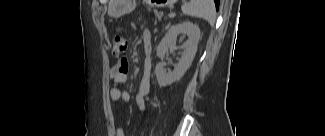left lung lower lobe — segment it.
<instances>
[{
  "instance_id": "obj_1",
  "label": "left lung lower lobe",
  "mask_w": 325,
  "mask_h": 136,
  "mask_svg": "<svg viewBox=\"0 0 325 136\" xmlns=\"http://www.w3.org/2000/svg\"><path fill=\"white\" fill-rule=\"evenodd\" d=\"M215 5H216V9L218 10V6H219V0H214Z\"/></svg>"
}]
</instances>
